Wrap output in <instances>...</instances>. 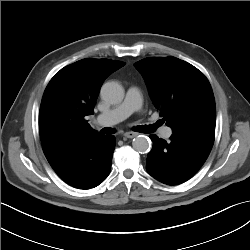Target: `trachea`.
Segmentation results:
<instances>
[{
    "label": "trachea",
    "mask_w": 250,
    "mask_h": 250,
    "mask_svg": "<svg viewBox=\"0 0 250 250\" xmlns=\"http://www.w3.org/2000/svg\"><path fill=\"white\" fill-rule=\"evenodd\" d=\"M157 125L156 126H145V128L147 129L148 133L150 132H153L155 129H156ZM101 133H104V134H114L115 133V130L112 129V128H109V127H105L101 130Z\"/></svg>",
    "instance_id": "3493384b"
}]
</instances>
